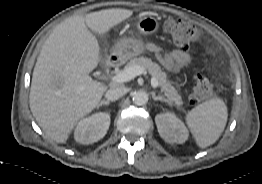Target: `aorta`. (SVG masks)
Returning <instances> with one entry per match:
<instances>
[{"label": "aorta", "instance_id": "obj_1", "mask_svg": "<svg viewBox=\"0 0 262 184\" xmlns=\"http://www.w3.org/2000/svg\"><path fill=\"white\" fill-rule=\"evenodd\" d=\"M133 103L142 106L148 102V94L145 91H137L132 97Z\"/></svg>", "mask_w": 262, "mask_h": 184}]
</instances>
